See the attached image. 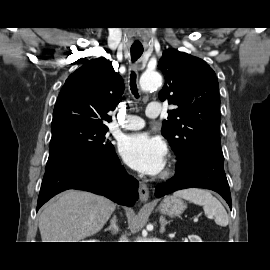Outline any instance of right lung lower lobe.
<instances>
[{"label":"right lung lower lobe","instance_id":"right-lung-lower-lobe-1","mask_svg":"<svg viewBox=\"0 0 270 270\" xmlns=\"http://www.w3.org/2000/svg\"><path fill=\"white\" fill-rule=\"evenodd\" d=\"M67 189L103 195L126 206H133L139 197L138 181L126 173L115 151L103 154L95 149L65 148L51 152L36 211Z\"/></svg>","mask_w":270,"mask_h":270}]
</instances>
